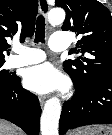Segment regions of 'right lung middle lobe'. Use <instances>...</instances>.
Segmentation results:
<instances>
[{
  "instance_id": "1",
  "label": "right lung middle lobe",
  "mask_w": 112,
  "mask_h": 135,
  "mask_svg": "<svg viewBox=\"0 0 112 135\" xmlns=\"http://www.w3.org/2000/svg\"><path fill=\"white\" fill-rule=\"evenodd\" d=\"M4 63L5 61H0V89L5 88L16 78L15 74L9 73L8 70L2 68Z\"/></svg>"
}]
</instances>
